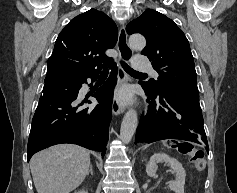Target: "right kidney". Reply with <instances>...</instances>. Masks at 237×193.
Wrapping results in <instances>:
<instances>
[{
    "label": "right kidney",
    "mask_w": 237,
    "mask_h": 193,
    "mask_svg": "<svg viewBox=\"0 0 237 193\" xmlns=\"http://www.w3.org/2000/svg\"><path fill=\"white\" fill-rule=\"evenodd\" d=\"M74 193H88V192H87V191H84V190H81V191L74 192Z\"/></svg>",
    "instance_id": "ca27d5eb"
}]
</instances>
